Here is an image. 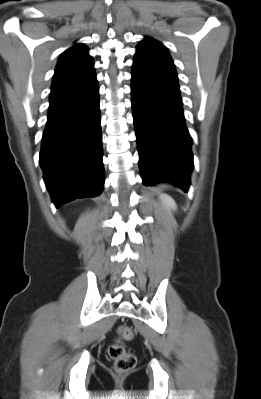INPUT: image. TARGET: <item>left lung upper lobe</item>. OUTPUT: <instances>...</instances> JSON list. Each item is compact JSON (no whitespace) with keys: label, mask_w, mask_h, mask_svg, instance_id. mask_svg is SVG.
<instances>
[{"label":"left lung upper lobe","mask_w":261,"mask_h":399,"mask_svg":"<svg viewBox=\"0 0 261 399\" xmlns=\"http://www.w3.org/2000/svg\"><path fill=\"white\" fill-rule=\"evenodd\" d=\"M133 64L176 74L175 65L166 47L150 37H146L137 46Z\"/></svg>","instance_id":"1"}]
</instances>
